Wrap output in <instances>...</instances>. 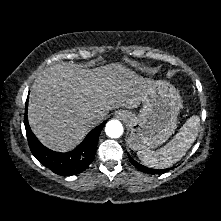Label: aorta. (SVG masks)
I'll use <instances>...</instances> for the list:
<instances>
[{
  "instance_id": "1",
  "label": "aorta",
  "mask_w": 221,
  "mask_h": 221,
  "mask_svg": "<svg viewBox=\"0 0 221 221\" xmlns=\"http://www.w3.org/2000/svg\"><path fill=\"white\" fill-rule=\"evenodd\" d=\"M106 135L110 138H119L123 134V126L118 120H111L105 127Z\"/></svg>"
}]
</instances>
